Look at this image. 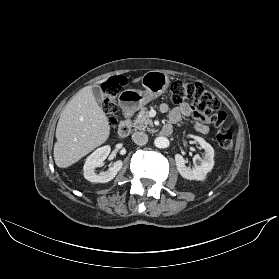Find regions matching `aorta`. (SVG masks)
<instances>
[{"instance_id":"1","label":"aorta","mask_w":279,"mask_h":279,"mask_svg":"<svg viewBox=\"0 0 279 279\" xmlns=\"http://www.w3.org/2000/svg\"><path fill=\"white\" fill-rule=\"evenodd\" d=\"M154 145L157 148H167L169 146V140L166 137H157L154 140Z\"/></svg>"}]
</instances>
